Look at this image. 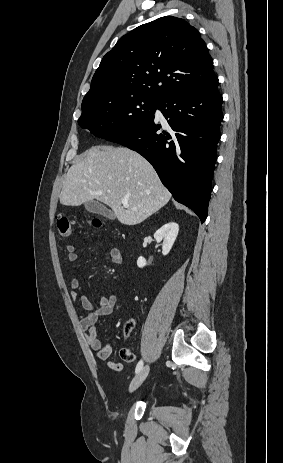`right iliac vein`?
I'll return each mask as SVG.
<instances>
[{"label": "right iliac vein", "instance_id": "right-iliac-vein-1", "mask_svg": "<svg viewBox=\"0 0 283 463\" xmlns=\"http://www.w3.org/2000/svg\"><path fill=\"white\" fill-rule=\"evenodd\" d=\"M148 373H149V366L146 365L138 372V374L131 381L130 386H129V391L130 392L135 391L144 382Z\"/></svg>", "mask_w": 283, "mask_h": 463}]
</instances>
